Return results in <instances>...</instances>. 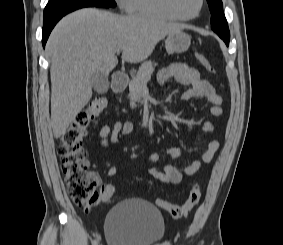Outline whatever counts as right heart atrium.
<instances>
[{"mask_svg": "<svg viewBox=\"0 0 283 245\" xmlns=\"http://www.w3.org/2000/svg\"><path fill=\"white\" fill-rule=\"evenodd\" d=\"M115 1L121 9H125L127 0H115Z\"/></svg>", "mask_w": 283, "mask_h": 245, "instance_id": "d8ad5b80", "label": "right heart atrium"}]
</instances>
